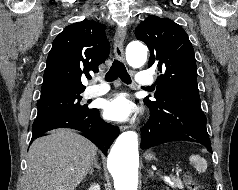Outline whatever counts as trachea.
Segmentation results:
<instances>
[{
	"mask_svg": "<svg viewBox=\"0 0 238 190\" xmlns=\"http://www.w3.org/2000/svg\"><path fill=\"white\" fill-rule=\"evenodd\" d=\"M120 78L124 83L130 84L131 78L124 66V64L118 60H114L112 66L110 67L109 71L107 72L105 79L106 81H114L117 78ZM91 77H89L90 79ZM150 89L151 87H147Z\"/></svg>",
	"mask_w": 238,
	"mask_h": 190,
	"instance_id": "1",
	"label": "trachea"
}]
</instances>
